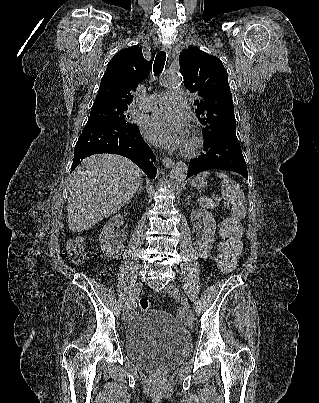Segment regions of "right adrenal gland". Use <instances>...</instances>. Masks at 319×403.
Listing matches in <instances>:
<instances>
[{
  "label": "right adrenal gland",
  "mask_w": 319,
  "mask_h": 403,
  "mask_svg": "<svg viewBox=\"0 0 319 403\" xmlns=\"http://www.w3.org/2000/svg\"><path fill=\"white\" fill-rule=\"evenodd\" d=\"M143 191V182H141L137 192H142Z\"/></svg>",
  "instance_id": "2a0ac1e0"
}]
</instances>
